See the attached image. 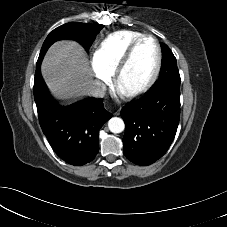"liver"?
I'll return each instance as SVG.
<instances>
[{
	"mask_svg": "<svg viewBox=\"0 0 227 227\" xmlns=\"http://www.w3.org/2000/svg\"><path fill=\"white\" fill-rule=\"evenodd\" d=\"M41 72L50 91L61 99L87 95L93 84L84 49L70 40L58 41L49 48Z\"/></svg>",
	"mask_w": 227,
	"mask_h": 227,
	"instance_id": "liver-1",
	"label": "liver"
}]
</instances>
